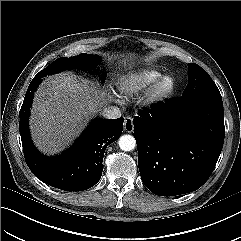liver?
Wrapping results in <instances>:
<instances>
[{
  "label": "liver",
  "mask_w": 241,
  "mask_h": 241,
  "mask_svg": "<svg viewBox=\"0 0 241 241\" xmlns=\"http://www.w3.org/2000/svg\"><path fill=\"white\" fill-rule=\"evenodd\" d=\"M107 97L106 90L94 82L67 73L43 81L35 94L30 119L38 149L49 155L62 151L107 105Z\"/></svg>",
  "instance_id": "1"
}]
</instances>
